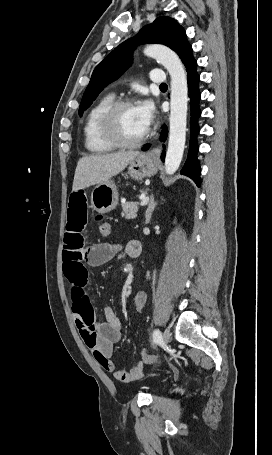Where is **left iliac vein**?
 <instances>
[{
	"label": "left iliac vein",
	"instance_id": "1",
	"mask_svg": "<svg viewBox=\"0 0 272 455\" xmlns=\"http://www.w3.org/2000/svg\"><path fill=\"white\" fill-rule=\"evenodd\" d=\"M170 340V331L168 328H166L163 332V335H162V343H163V346H167L168 342Z\"/></svg>",
	"mask_w": 272,
	"mask_h": 455
}]
</instances>
